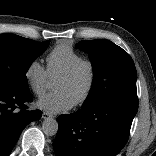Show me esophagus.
<instances>
[{"label": "esophagus", "mask_w": 156, "mask_h": 156, "mask_svg": "<svg viewBox=\"0 0 156 156\" xmlns=\"http://www.w3.org/2000/svg\"><path fill=\"white\" fill-rule=\"evenodd\" d=\"M42 118H43V119H49V118H52V115L49 114L48 112H43Z\"/></svg>", "instance_id": "34e87169"}]
</instances>
